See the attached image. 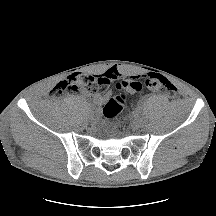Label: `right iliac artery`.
Masks as SVG:
<instances>
[{
	"mask_svg": "<svg viewBox=\"0 0 216 216\" xmlns=\"http://www.w3.org/2000/svg\"><path fill=\"white\" fill-rule=\"evenodd\" d=\"M86 111H87L86 113H87L88 116L92 115V112L88 108L86 109Z\"/></svg>",
	"mask_w": 216,
	"mask_h": 216,
	"instance_id": "1",
	"label": "right iliac artery"
}]
</instances>
